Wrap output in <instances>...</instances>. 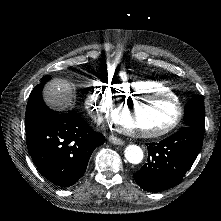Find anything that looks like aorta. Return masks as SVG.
<instances>
[{"label": "aorta", "mask_w": 221, "mask_h": 221, "mask_svg": "<svg viewBox=\"0 0 221 221\" xmlns=\"http://www.w3.org/2000/svg\"><path fill=\"white\" fill-rule=\"evenodd\" d=\"M125 158L132 164L142 162L144 154L142 149L137 145H128L124 152Z\"/></svg>", "instance_id": "1"}]
</instances>
